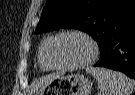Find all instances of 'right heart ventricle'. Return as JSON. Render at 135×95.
Listing matches in <instances>:
<instances>
[{"instance_id":"right-heart-ventricle-1","label":"right heart ventricle","mask_w":135,"mask_h":95,"mask_svg":"<svg viewBox=\"0 0 135 95\" xmlns=\"http://www.w3.org/2000/svg\"><path fill=\"white\" fill-rule=\"evenodd\" d=\"M50 38L51 37H48L43 41V43L41 44L39 51H38V63H39L41 70H43V71L50 70V68L47 66L46 61H45V51H46V47H47V44H48Z\"/></svg>"}]
</instances>
